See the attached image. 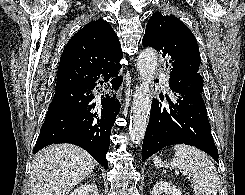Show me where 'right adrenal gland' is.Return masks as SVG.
I'll list each match as a JSON object with an SVG mask.
<instances>
[{
	"label": "right adrenal gland",
	"mask_w": 245,
	"mask_h": 195,
	"mask_svg": "<svg viewBox=\"0 0 245 195\" xmlns=\"http://www.w3.org/2000/svg\"><path fill=\"white\" fill-rule=\"evenodd\" d=\"M90 176H95V174H92V175H90Z\"/></svg>",
	"instance_id": "obj_1"
}]
</instances>
